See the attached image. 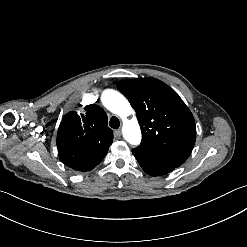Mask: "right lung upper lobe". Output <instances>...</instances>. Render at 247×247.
Here are the masks:
<instances>
[{"mask_svg":"<svg viewBox=\"0 0 247 247\" xmlns=\"http://www.w3.org/2000/svg\"><path fill=\"white\" fill-rule=\"evenodd\" d=\"M80 116L67 113L57 133L60 160L77 171H90L104 159L113 142V131L107 126L108 117L98 105L84 108Z\"/></svg>","mask_w":247,"mask_h":247,"instance_id":"obj_1","label":"right lung upper lobe"}]
</instances>
